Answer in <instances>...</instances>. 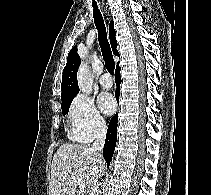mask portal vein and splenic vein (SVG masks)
<instances>
[{
    "label": "portal vein and splenic vein",
    "instance_id": "portal-vein-and-splenic-vein-1",
    "mask_svg": "<svg viewBox=\"0 0 211 195\" xmlns=\"http://www.w3.org/2000/svg\"><path fill=\"white\" fill-rule=\"evenodd\" d=\"M80 183H81V181H80V179H78L79 195H84L85 194V189H84V187Z\"/></svg>",
    "mask_w": 211,
    "mask_h": 195
}]
</instances>
